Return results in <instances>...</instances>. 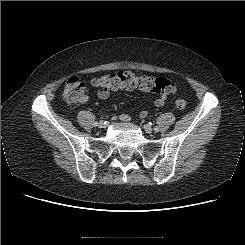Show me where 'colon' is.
<instances>
[{"mask_svg":"<svg viewBox=\"0 0 245 245\" xmlns=\"http://www.w3.org/2000/svg\"><path fill=\"white\" fill-rule=\"evenodd\" d=\"M92 84L103 91L138 89L163 96L174 94L177 90L176 85L168 79L136 75L130 71H120L97 77L93 79ZM63 95L69 102H80L85 97V84L78 77L73 76L67 80ZM175 105L178 109H184L187 104L185 100L177 99Z\"/></svg>","mask_w":245,"mask_h":245,"instance_id":"1","label":"colon"}]
</instances>
